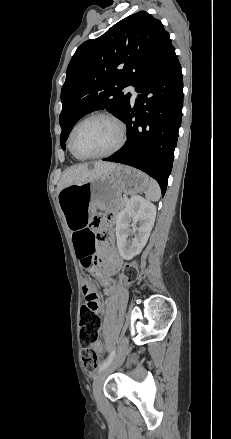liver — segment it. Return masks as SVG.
I'll use <instances>...</instances> for the list:
<instances>
[{"instance_id": "obj_1", "label": "liver", "mask_w": 231, "mask_h": 439, "mask_svg": "<svg viewBox=\"0 0 231 439\" xmlns=\"http://www.w3.org/2000/svg\"><path fill=\"white\" fill-rule=\"evenodd\" d=\"M116 166V163L110 162H95L93 163V168H90L88 164L73 165L64 171L57 186V192L59 193L62 189L70 185L93 180L100 175L111 171Z\"/></svg>"}]
</instances>
